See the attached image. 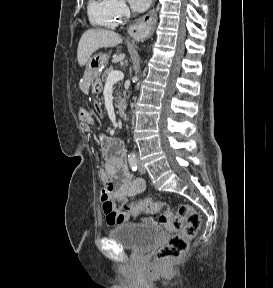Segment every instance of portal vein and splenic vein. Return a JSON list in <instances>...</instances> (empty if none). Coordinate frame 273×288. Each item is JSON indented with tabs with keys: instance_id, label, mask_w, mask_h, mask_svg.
<instances>
[{
	"instance_id": "18ae733b",
	"label": "portal vein and splenic vein",
	"mask_w": 273,
	"mask_h": 288,
	"mask_svg": "<svg viewBox=\"0 0 273 288\" xmlns=\"http://www.w3.org/2000/svg\"><path fill=\"white\" fill-rule=\"evenodd\" d=\"M124 78V74L121 71H113L108 75L107 84L108 83H116Z\"/></svg>"
}]
</instances>
